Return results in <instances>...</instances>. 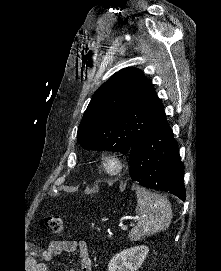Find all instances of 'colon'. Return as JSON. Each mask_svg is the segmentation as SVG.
I'll list each match as a JSON object with an SVG mask.
<instances>
[{
  "instance_id": "colon-1",
  "label": "colon",
  "mask_w": 221,
  "mask_h": 271,
  "mask_svg": "<svg viewBox=\"0 0 221 271\" xmlns=\"http://www.w3.org/2000/svg\"><path fill=\"white\" fill-rule=\"evenodd\" d=\"M44 226L53 235H60L63 231L62 219L58 215H48L44 219Z\"/></svg>"
}]
</instances>
